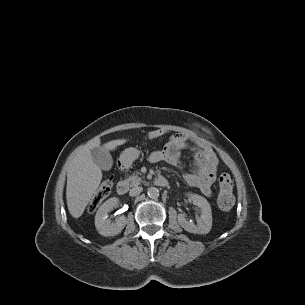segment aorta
<instances>
[{
    "mask_svg": "<svg viewBox=\"0 0 305 305\" xmlns=\"http://www.w3.org/2000/svg\"><path fill=\"white\" fill-rule=\"evenodd\" d=\"M147 194L150 198L156 199L159 197V190L156 187H150L147 191Z\"/></svg>",
    "mask_w": 305,
    "mask_h": 305,
    "instance_id": "aorta-1",
    "label": "aorta"
}]
</instances>
